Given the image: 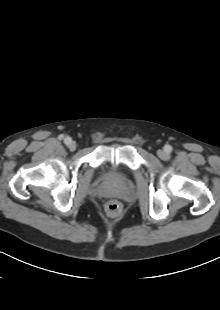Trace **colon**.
<instances>
[{
	"instance_id": "colon-1",
	"label": "colon",
	"mask_w": 220,
	"mask_h": 310,
	"mask_svg": "<svg viewBox=\"0 0 220 310\" xmlns=\"http://www.w3.org/2000/svg\"><path fill=\"white\" fill-rule=\"evenodd\" d=\"M106 210L110 215H118L121 212V205L116 201H110L106 205Z\"/></svg>"
}]
</instances>
